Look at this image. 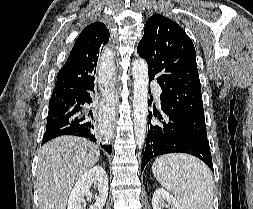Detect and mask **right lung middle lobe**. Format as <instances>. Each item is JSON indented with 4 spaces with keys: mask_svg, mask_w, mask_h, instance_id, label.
I'll return each instance as SVG.
<instances>
[{
    "mask_svg": "<svg viewBox=\"0 0 253 209\" xmlns=\"http://www.w3.org/2000/svg\"><path fill=\"white\" fill-rule=\"evenodd\" d=\"M60 114H61L60 112H58V111H55L53 115H56V116H58V115H60Z\"/></svg>",
    "mask_w": 253,
    "mask_h": 209,
    "instance_id": "dd1d6c3e",
    "label": "right lung middle lobe"
}]
</instances>
